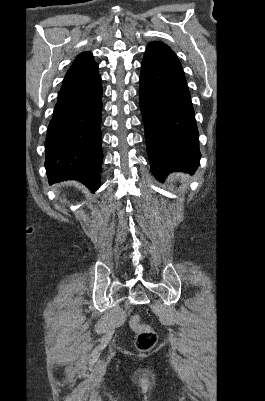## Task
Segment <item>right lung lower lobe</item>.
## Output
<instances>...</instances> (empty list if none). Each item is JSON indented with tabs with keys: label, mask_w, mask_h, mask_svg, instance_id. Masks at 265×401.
<instances>
[{
	"label": "right lung lower lobe",
	"mask_w": 265,
	"mask_h": 401,
	"mask_svg": "<svg viewBox=\"0 0 265 401\" xmlns=\"http://www.w3.org/2000/svg\"><path fill=\"white\" fill-rule=\"evenodd\" d=\"M45 141L49 183L78 180L91 191L100 186L101 80L90 88L60 94Z\"/></svg>",
	"instance_id": "obj_1"
}]
</instances>
